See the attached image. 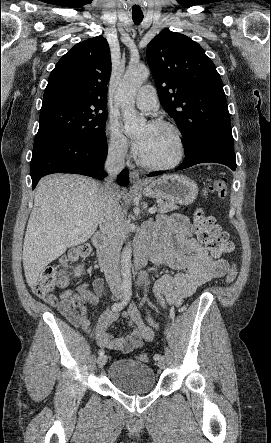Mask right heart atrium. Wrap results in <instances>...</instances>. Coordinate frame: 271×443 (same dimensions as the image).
I'll use <instances>...</instances> for the list:
<instances>
[{"label": "right heart atrium", "mask_w": 271, "mask_h": 443, "mask_svg": "<svg viewBox=\"0 0 271 443\" xmlns=\"http://www.w3.org/2000/svg\"><path fill=\"white\" fill-rule=\"evenodd\" d=\"M107 149L115 157H125L129 153V140L122 133L117 120L109 118L105 125Z\"/></svg>", "instance_id": "right-heart-atrium-1"}]
</instances>
